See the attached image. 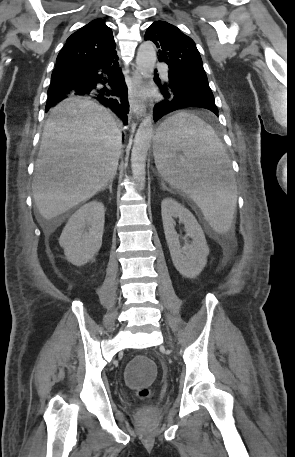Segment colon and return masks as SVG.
Instances as JSON below:
<instances>
[{"label": "colon", "mask_w": 295, "mask_h": 457, "mask_svg": "<svg viewBox=\"0 0 295 457\" xmlns=\"http://www.w3.org/2000/svg\"><path fill=\"white\" fill-rule=\"evenodd\" d=\"M158 371L152 357H133L132 363L125 368V377L129 383V390H137L141 399H147L152 390L154 378H157Z\"/></svg>", "instance_id": "5ec220e1"}]
</instances>
